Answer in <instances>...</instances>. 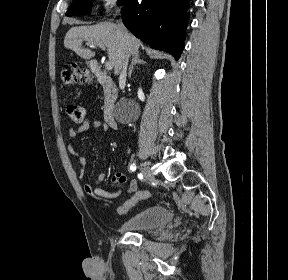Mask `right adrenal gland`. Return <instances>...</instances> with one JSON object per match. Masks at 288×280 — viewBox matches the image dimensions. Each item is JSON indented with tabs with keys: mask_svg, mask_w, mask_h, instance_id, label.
<instances>
[{
	"mask_svg": "<svg viewBox=\"0 0 288 280\" xmlns=\"http://www.w3.org/2000/svg\"><path fill=\"white\" fill-rule=\"evenodd\" d=\"M137 64H146V61H144L143 59H140V55L138 53H136L135 55H133V59L131 61V65L129 67V73H128V77L130 78L131 77V74H132V71H133V68H134V65H137Z\"/></svg>",
	"mask_w": 288,
	"mask_h": 280,
	"instance_id": "obj_1",
	"label": "right adrenal gland"
}]
</instances>
